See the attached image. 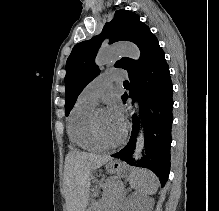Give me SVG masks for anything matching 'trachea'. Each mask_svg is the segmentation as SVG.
I'll return each instance as SVG.
<instances>
[{
  "label": "trachea",
  "mask_w": 219,
  "mask_h": 211,
  "mask_svg": "<svg viewBox=\"0 0 219 211\" xmlns=\"http://www.w3.org/2000/svg\"><path fill=\"white\" fill-rule=\"evenodd\" d=\"M123 84H129V82L126 81V82H124Z\"/></svg>",
  "instance_id": "3493384b"
}]
</instances>
